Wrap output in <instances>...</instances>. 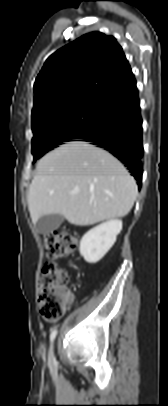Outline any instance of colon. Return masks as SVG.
Listing matches in <instances>:
<instances>
[{
    "label": "colon",
    "instance_id": "5ec220e1",
    "mask_svg": "<svg viewBox=\"0 0 168 406\" xmlns=\"http://www.w3.org/2000/svg\"><path fill=\"white\" fill-rule=\"evenodd\" d=\"M43 244L49 261L43 264L38 275V304L42 318L47 322H56L64 314L68 273L54 260L71 254L75 250L77 242L67 230L61 229L46 234Z\"/></svg>",
    "mask_w": 168,
    "mask_h": 406
}]
</instances>
